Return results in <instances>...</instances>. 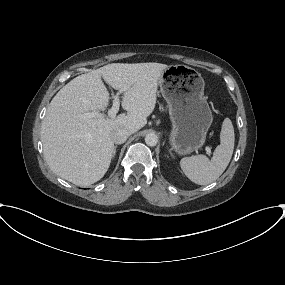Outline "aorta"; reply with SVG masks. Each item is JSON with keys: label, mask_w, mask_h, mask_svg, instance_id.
<instances>
[{"label": "aorta", "mask_w": 285, "mask_h": 285, "mask_svg": "<svg viewBox=\"0 0 285 285\" xmlns=\"http://www.w3.org/2000/svg\"><path fill=\"white\" fill-rule=\"evenodd\" d=\"M145 142L148 146H156L158 143V137L154 133H149L145 137Z\"/></svg>", "instance_id": "762f6f07"}]
</instances>
